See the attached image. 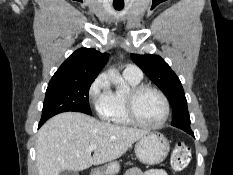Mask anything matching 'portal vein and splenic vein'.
I'll return each mask as SVG.
<instances>
[{
    "label": "portal vein and splenic vein",
    "instance_id": "portal-vein-and-splenic-vein-1",
    "mask_svg": "<svg viewBox=\"0 0 233 175\" xmlns=\"http://www.w3.org/2000/svg\"><path fill=\"white\" fill-rule=\"evenodd\" d=\"M96 149H97V146H96V145H90V146L88 147L87 151H88V152H92V151H94V150H96Z\"/></svg>",
    "mask_w": 233,
    "mask_h": 175
}]
</instances>
